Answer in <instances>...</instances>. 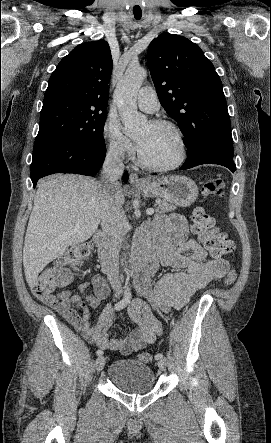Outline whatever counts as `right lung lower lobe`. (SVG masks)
<instances>
[{"label":"right lung lower lobe","mask_w":271,"mask_h":443,"mask_svg":"<svg viewBox=\"0 0 271 443\" xmlns=\"http://www.w3.org/2000/svg\"><path fill=\"white\" fill-rule=\"evenodd\" d=\"M106 154L105 142L82 145L65 141H50L33 151L31 180L37 181L53 173H76L95 175L103 164ZM128 180V173H124Z\"/></svg>","instance_id":"98d812e1"}]
</instances>
